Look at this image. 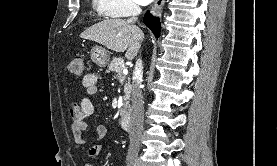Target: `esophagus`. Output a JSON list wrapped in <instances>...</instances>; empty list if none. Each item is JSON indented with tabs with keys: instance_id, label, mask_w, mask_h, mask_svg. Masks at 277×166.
I'll list each match as a JSON object with an SVG mask.
<instances>
[{
	"instance_id": "esophagus-1",
	"label": "esophagus",
	"mask_w": 277,
	"mask_h": 166,
	"mask_svg": "<svg viewBox=\"0 0 277 166\" xmlns=\"http://www.w3.org/2000/svg\"><path fill=\"white\" fill-rule=\"evenodd\" d=\"M165 3V0H155L152 8H151V11L152 13H157L164 5Z\"/></svg>"
}]
</instances>
